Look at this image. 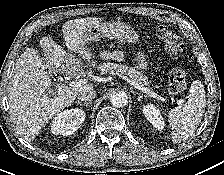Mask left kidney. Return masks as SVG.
<instances>
[{
    "instance_id": "1",
    "label": "left kidney",
    "mask_w": 224,
    "mask_h": 175,
    "mask_svg": "<svg viewBox=\"0 0 224 175\" xmlns=\"http://www.w3.org/2000/svg\"><path fill=\"white\" fill-rule=\"evenodd\" d=\"M143 114L150 121L154 128L158 130H162L165 126L163 117L161 116V112L159 108L153 104H148L143 106Z\"/></svg>"
}]
</instances>
